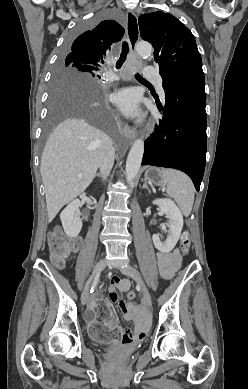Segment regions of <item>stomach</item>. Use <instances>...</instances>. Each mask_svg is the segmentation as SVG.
<instances>
[{"label":"stomach","mask_w":248,"mask_h":389,"mask_svg":"<svg viewBox=\"0 0 248 389\" xmlns=\"http://www.w3.org/2000/svg\"><path fill=\"white\" fill-rule=\"evenodd\" d=\"M163 172L164 169L158 167H149L145 171V179L153 185L163 186L166 183Z\"/></svg>","instance_id":"obj_1"}]
</instances>
